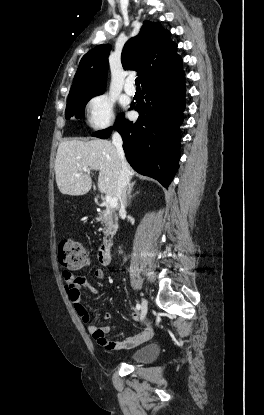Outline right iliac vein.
Instances as JSON below:
<instances>
[{"mask_svg": "<svg viewBox=\"0 0 264 415\" xmlns=\"http://www.w3.org/2000/svg\"><path fill=\"white\" fill-rule=\"evenodd\" d=\"M147 310H148L147 300L143 299V301H142V307H141V320H143L144 317L146 316Z\"/></svg>", "mask_w": 264, "mask_h": 415, "instance_id": "63e3f726", "label": "right iliac vein"}]
</instances>
